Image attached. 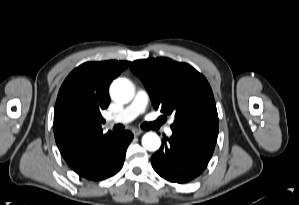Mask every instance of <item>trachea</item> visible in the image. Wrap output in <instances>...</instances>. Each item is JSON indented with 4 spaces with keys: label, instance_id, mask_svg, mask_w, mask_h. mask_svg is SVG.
<instances>
[{
    "label": "trachea",
    "instance_id": "trachea-1",
    "mask_svg": "<svg viewBox=\"0 0 299 205\" xmlns=\"http://www.w3.org/2000/svg\"><path fill=\"white\" fill-rule=\"evenodd\" d=\"M160 123H161L160 120H157L156 122H152V123H144L142 125V128L150 129V128H153L155 126H158ZM113 130L116 133H121L124 130V127L121 124H118V125L114 126Z\"/></svg>",
    "mask_w": 299,
    "mask_h": 205
}]
</instances>
